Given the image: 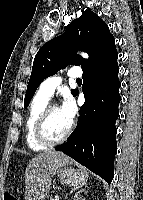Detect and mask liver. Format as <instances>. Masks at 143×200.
Masks as SVG:
<instances>
[{
	"mask_svg": "<svg viewBox=\"0 0 143 200\" xmlns=\"http://www.w3.org/2000/svg\"><path fill=\"white\" fill-rule=\"evenodd\" d=\"M72 163L73 160L62 152L48 150L37 154L25 170V199L45 200L52 177L62 166Z\"/></svg>",
	"mask_w": 143,
	"mask_h": 200,
	"instance_id": "liver-1",
	"label": "liver"
}]
</instances>
